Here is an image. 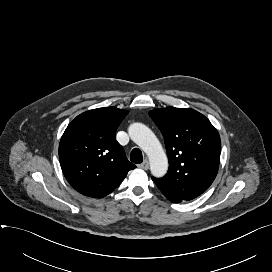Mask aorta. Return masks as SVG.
I'll list each match as a JSON object with an SVG mask.
<instances>
[{
    "label": "aorta",
    "instance_id": "aorta-1",
    "mask_svg": "<svg viewBox=\"0 0 272 272\" xmlns=\"http://www.w3.org/2000/svg\"><path fill=\"white\" fill-rule=\"evenodd\" d=\"M128 133L132 141L140 146L148 156L152 175L164 176L168 169V159L155 134L142 123L131 124Z\"/></svg>",
    "mask_w": 272,
    "mask_h": 272
}]
</instances>
